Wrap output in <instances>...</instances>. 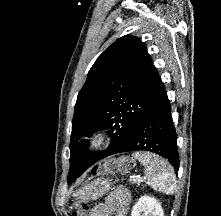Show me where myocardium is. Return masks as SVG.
Masks as SVG:
<instances>
[{"label": "myocardium", "mask_w": 221, "mask_h": 216, "mask_svg": "<svg viewBox=\"0 0 221 216\" xmlns=\"http://www.w3.org/2000/svg\"><path fill=\"white\" fill-rule=\"evenodd\" d=\"M109 142V135L105 131L95 132L87 142V149L89 151H98L102 149Z\"/></svg>", "instance_id": "f54148a6"}]
</instances>
